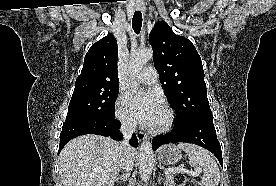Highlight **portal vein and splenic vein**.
<instances>
[{
	"label": "portal vein and splenic vein",
	"mask_w": 276,
	"mask_h": 186,
	"mask_svg": "<svg viewBox=\"0 0 276 186\" xmlns=\"http://www.w3.org/2000/svg\"><path fill=\"white\" fill-rule=\"evenodd\" d=\"M164 173L167 177L172 176V174H175V173H187L191 176H198L200 171L198 169H196L194 171H189L184 168H175V169H167L164 171Z\"/></svg>",
	"instance_id": "1"
}]
</instances>
